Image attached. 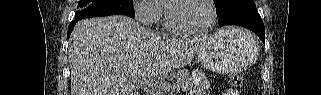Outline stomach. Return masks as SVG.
Wrapping results in <instances>:
<instances>
[{"label":"stomach","mask_w":321,"mask_h":95,"mask_svg":"<svg viewBox=\"0 0 321 95\" xmlns=\"http://www.w3.org/2000/svg\"><path fill=\"white\" fill-rule=\"evenodd\" d=\"M259 52L255 37L238 28H224L198 50L201 64L218 73H235L250 66Z\"/></svg>","instance_id":"0dacf381"}]
</instances>
